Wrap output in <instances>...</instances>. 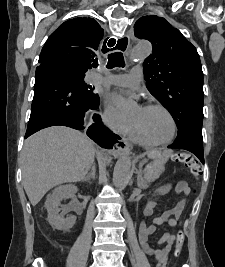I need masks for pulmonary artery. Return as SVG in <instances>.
<instances>
[{
  "label": "pulmonary artery",
  "instance_id": "pulmonary-artery-1",
  "mask_svg": "<svg viewBox=\"0 0 225 267\" xmlns=\"http://www.w3.org/2000/svg\"><path fill=\"white\" fill-rule=\"evenodd\" d=\"M143 79V71L140 65H135L128 74H109L102 76L100 72H95L92 81L109 85L137 88Z\"/></svg>",
  "mask_w": 225,
  "mask_h": 267
}]
</instances>
